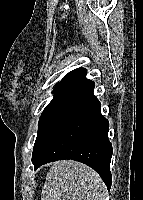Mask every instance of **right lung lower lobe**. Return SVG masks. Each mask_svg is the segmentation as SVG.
Returning a JSON list of instances; mask_svg holds the SVG:
<instances>
[{"mask_svg": "<svg viewBox=\"0 0 143 200\" xmlns=\"http://www.w3.org/2000/svg\"><path fill=\"white\" fill-rule=\"evenodd\" d=\"M94 86L82 69L54 90V98L39 120L32 162L35 169L63 159L82 162L98 172L110 189L109 122L101 114Z\"/></svg>", "mask_w": 143, "mask_h": 200, "instance_id": "obj_1", "label": "right lung lower lobe"}]
</instances>
